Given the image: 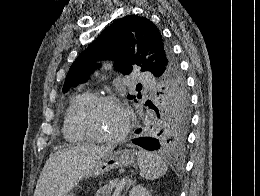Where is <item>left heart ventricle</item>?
<instances>
[{
  "label": "left heart ventricle",
  "mask_w": 260,
  "mask_h": 196,
  "mask_svg": "<svg viewBox=\"0 0 260 196\" xmlns=\"http://www.w3.org/2000/svg\"><path fill=\"white\" fill-rule=\"evenodd\" d=\"M125 124V113L116 104H105L97 108L89 118V126L100 134H117Z\"/></svg>",
  "instance_id": "b2bd125f"
}]
</instances>
